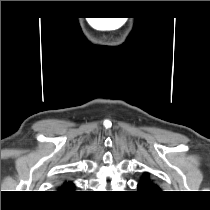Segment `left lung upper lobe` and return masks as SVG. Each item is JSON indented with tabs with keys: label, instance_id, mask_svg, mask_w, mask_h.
Returning a JSON list of instances; mask_svg holds the SVG:
<instances>
[{
	"label": "left lung upper lobe",
	"instance_id": "5c2ea615",
	"mask_svg": "<svg viewBox=\"0 0 210 210\" xmlns=\"http://www.w3.org/2000/svg\"><path fill=\"white\" fill-rule=\"evenodd\" d=\"M138 189L141 192L150 193V194L160 192L159 186L156 183H154L153 180L150 179V175L147 172H145L142 175L140 182L138 184Z\"/></svg>",
	"mask_w": 210,
	"mask_h": 210
}]
</instances>
